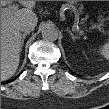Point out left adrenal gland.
<instances>
[{
    "mask_svg": "<svg viewBox=\"0 0 109 109\" xmlns=\"http://www.w3.org/2000/svg\"><path fill=\"white\" fill-rule=\"evenodd\" d=\"M67 31L71 35V37H72L73 40H76L78 38L69 29Z\"/></svg>",
    "mask_w": 109,
    "mask_h": 109,
    "instance_id": "obj_1",
    "label": "left adrenal gland"
}]
</instances>
